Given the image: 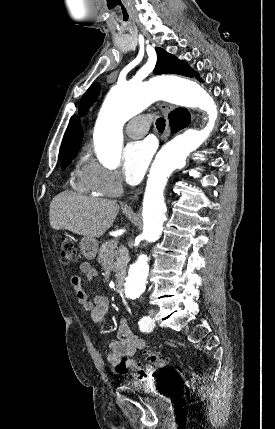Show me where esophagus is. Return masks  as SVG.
Wrapping results in <instances>:
<instances>
[{"instance_id":"esophagus-1","label":"esophagus","mask_w":275,"mask_h":429,"mask_svg":"<svg viewBox=\"0 0 275 429\" xmlns=\"http://www.w3.org/2000/svg\"><path fill=\"white\" fill-rule=\"evenodd\" d=\"M160 109H161V111L164 113V115L165 116H168V114L171 112V111H173L174 110V107L173 106H171V105H169V104H167V103H161L160 104ZM169 133H170V128H169V126L167 127V129H166V132H165V134H164V138H166L168 135H169ZM142 193V190H138L132 197H131V201L133 202V201H136V200H138V198H139V196H140V194Z\"/></svg>"}]
</instances>
